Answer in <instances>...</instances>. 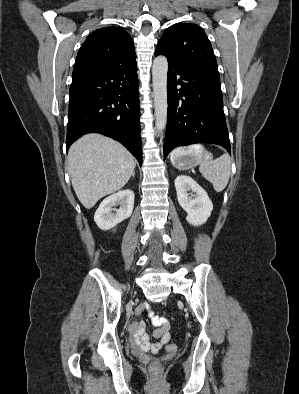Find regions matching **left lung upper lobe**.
Returning <instances> with one entry per match:
<instances>
[{
  "instance_id": "1",
  "label": "left lung upper lobe",
  "mask_w": 299,
  "mask_h": 394,
  "mask_svg": "<svg viewBox=\"0 0 299 394\" xmlns=\"http://www.w3.org/2000/svg\"><path fill=\"white\" fill-rule=\"evenodd\" d=\"M155 55H165L169 64L177 66L217 67L211 43L204 30L191 23L170 26L159 40Z\"/></svg>"
}]
</instances>
